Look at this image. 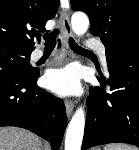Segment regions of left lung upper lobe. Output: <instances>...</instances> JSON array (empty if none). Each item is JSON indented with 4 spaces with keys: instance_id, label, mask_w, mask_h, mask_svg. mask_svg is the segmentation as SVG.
Masks as SVG:
<instances>
[{
    "instance_id": "obj_1",
    "label": "left lung upper lobe",
    "mask_w": 139,
    "mask_h": 150,
    "mask_svg": "<svg viewBox=\"0 0 139 150\" xmlns=\"http://www.w3.org/2000/svg\"><path fill=\"white\" fill-rule=\"evenodd\" d=\"M71 5L89 16L90 32L104 44L107 61L139 40V0H71Z\"/></svg>"
}]
</instances>
